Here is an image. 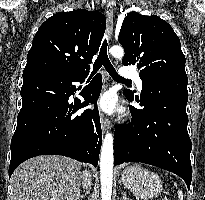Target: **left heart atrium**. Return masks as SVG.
<instances>
[{
    "instance_id": "left-heart-atrium-1",
    "label": "left heart atrium",
    "mask_w": 205,
    "mask_h": 200,
    "mask_svg": "<svg viewBox=\"0 0 205 200\" xmlns=\"http://www.w3.org/2000/svg\"><path fill=\"white\" fill-rule=\"evenodd\" d=\"M97 106L106 113H114L118 110L116 95L113 91L103 93L97 101Z\"/></svg>"
}]
</instances>
